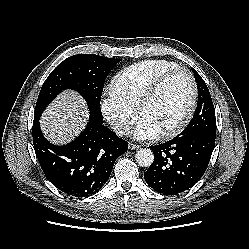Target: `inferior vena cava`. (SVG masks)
Wrapping results in <instances>:
<instances>
[{"instance_id": "obj_1", "label": "inferior vena cava", "mask_w": 249, "mask_h": 249, "mask_svg": "<svg viewBox=\"0 0 249 249\" xmlns=\"http://www.w3.org/2000/svg\"><path fill=\"white\" fill-rule=\"evenodd\" d=\"M111 128L119 135H125L130 133V128L127 124L122 122H111Z\"/></svg>"}]
</instances>
